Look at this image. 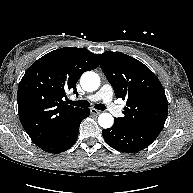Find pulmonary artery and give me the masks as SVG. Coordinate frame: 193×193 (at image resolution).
Here are the masks:
<instances>
[{"instance_id": "pulmonary-artery-1", "label": "pulmonary artery", "mask_w": 193, "mask_h": 193, "mask_svg": "<svg viewBox=\"0 0 193 193\" xmlns=\"http://www.w3.org/2000/svg\"><path fill=\"white\" fill-rule=\"evenodd\" d=\"M89 100L91 101H99L102 100L108 107L109 111L115 115L120 116L121 115V109L119 106H117L112 100H113V89L109 84L103 85L100 90L89 96Z\"/></svg>"}]
</instances>
